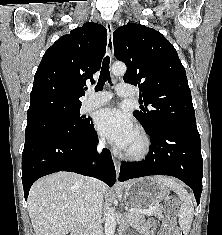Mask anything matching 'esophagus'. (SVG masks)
Here are the masks:
<instances>
[{"mask_svg":"<svg viewBox=\"0 0 222 235\" xmlns=\"http://www.w3.org/2000/svg\"><path fill=\"white\" fill-rule=\"evenodd\" d=\"M106 29H107V53L112 59L114 53V44H113V26L110 21H107ZM113 163L118 177L120 172V162L116 158H113Z\"/></svg>","mask_w":222,"mask_h":235,"instance_id":"1","label":"esophagus"}]
</instances>
